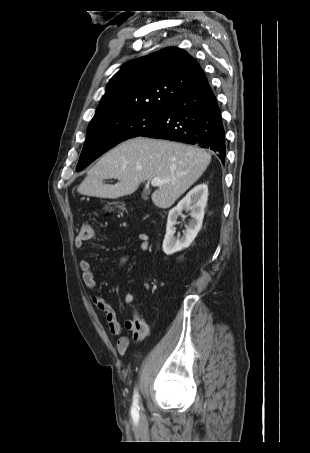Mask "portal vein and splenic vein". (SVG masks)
<instances>
[{"mask_svg":"<svg viewBox=\"0 0 310 453\" xmlns=\"http://www.w3.org/2000/svg\"><path fill=\"white\" fill-rule=\"evenodd\" d=\"M169 180H164V179H160L158 177L154 178L151 180V185L152 186H161L162 184H165V183H168Z\"/></svg>","mask_w":310,"mask_h":453,"instance_id":"obj_1","label":"portal vein and splenic vein"}]
</instances>
